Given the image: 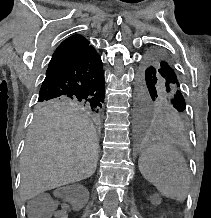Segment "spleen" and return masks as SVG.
I'll list each match as a JSON object with an SVG mask.
<instances>
[{"instance_id":"obj_1","label":"spleen","mask_w":211,"mask_h":218,"mask_svg":"<svg viewBox=\"0 0 211 218\" xmlns=\"http://www.w3.org/2000/svg\"><path fill=\"white\" fill-rule=\"evenodd\" d=\"M138 168L161 196L184 202L190 190V172L184 158L172 150L149 148L139 158Z\"/></svg>"}]
</instances>
